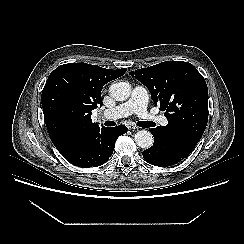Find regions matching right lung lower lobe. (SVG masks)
Wrapping results in <instances>:
<instances>
[{"mask_svg":"<svg viewBox=\"0 0 244 244\" xmlns=\"http://www.w3.org/2000/svg\"><path fill=\"white\" fill-rule=\"evenodd\" d=\"M125 132L124 125L105 128L91 137L72 140L58 151L75 166L97 167L108 161L117 138Z\"/></svg>","mask_w":244,"mask_h":244,"instance_id":"1","label":"right lung lower lobe"}]
</instances>
